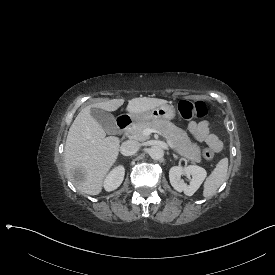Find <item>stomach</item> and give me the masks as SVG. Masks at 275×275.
Listing matches in <instances>:
<instances>
[{
	"instance_id": "0dacf381",
	"label": "stomach",
	"mask_w": 275,
	"mask_h": 275,
	"mask_svg": "<svg viewBox=\"0 0 275 275\" xmlns=\"http://www.w3.org/2000/svg\"><path fill=\"white\" fill-rule=\"evenodd\" d=\"M176 116V109L173 105L164 104L141 114H131L135 121L152 122L157 120H173Z\"/></svg>"
}]
</instances>
